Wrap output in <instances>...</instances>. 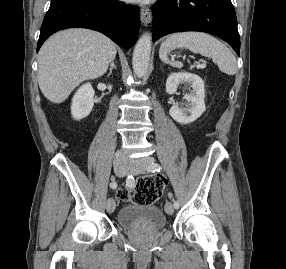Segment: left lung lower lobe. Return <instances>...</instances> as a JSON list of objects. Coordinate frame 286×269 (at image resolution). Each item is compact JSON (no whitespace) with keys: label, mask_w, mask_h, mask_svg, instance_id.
Returning <instances> with one entry per match:
<instances>
[{"label":"left lung lower lobe","mask_w":286,"mask_h":269,"mask_svg":"<svg viewBox=\"0 0 286 269\" xmlns=\"http://www.w3.org/2000/svg\"><path fill=\"white\" fill-rule=\"evenodd\" d=\"M152 11L153 42L172 32L202 31L228 42L239 56L240 39L231 0H158Z\"/></svg>","instance_id":"1"}]
</instances>
